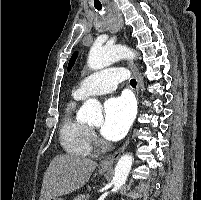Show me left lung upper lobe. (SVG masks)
Instances as JSON below:
<instances>
[{
    "label": "left lung upper lobe",
    "mask_w": 201,
    "mask_h": 200,
    "mask_svg": "<svg viewBox=\"0 0 201 200\" xmlns=\"http://www.w3.org/2000/svg\"><path fill=\"white\" fill-rule=\"evenodd\" d=\"M77 56H78V52L76 51V52L73 53V55H72V57H71V59H70V61H69V64H68V71L71 70V68H72V66L74 65V62H75Z\"/></svg>",
    "instance_id": "left-lung-upper-lobe-1"
}]
</instances>
